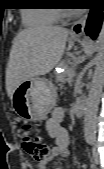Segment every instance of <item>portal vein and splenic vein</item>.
Returning <instances> with one entry per match:
<instances>
[{"instance_id":"obj_1","label":"portal vein and splenic vein","mask_w":104,"mask_h":169,"mask_svg":"<svg viewBox=\"0 0 104 169\" xmlns=\"http://www.w3.org/2000/svg\"><path fill=\"white\" fill-rule=\"evenodd\" d=\"M74 73H75V69H73V70L71 71V75H74Z\"/></svg>"}]
</instances>
